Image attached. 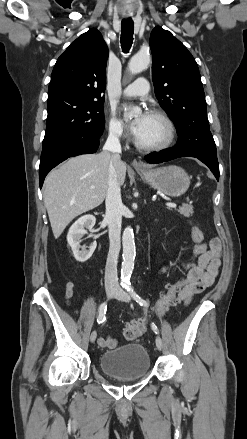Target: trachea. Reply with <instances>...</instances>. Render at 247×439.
I'll list each match as a JSON object with an SVG mask.
<instances>
[{
    "instance_id": "3493384b",
    "label": "trachea",
    "mask_w": 247,
    "mask_h": 439,
    "mask_svg": "<svg viewBox=\"0 0 247 439\" xmlns=\"http://www.w3.org/2000/svg\"><path fill=\"white\" fill-rule=\"evenodd\" d=\"M134 24L131 18L122 20L121 23V47L124 53H128L133 43Z\"/></svg>"
}]
</instances>
